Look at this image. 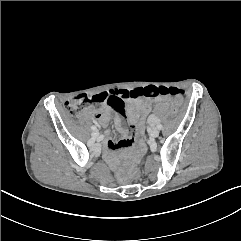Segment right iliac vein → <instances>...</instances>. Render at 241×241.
I'll use <instances>...</instances> for the list:
<instances>
[{
  "label": "right iliac vein",
  "instance_id": "1",
  "mask_svg": "<svg viewBox=\"0 0 241 241\" xmlns=\"http://www.w3.org/2000/svg\"><path fill=\"white\" fill-rule=\"evenodd\" d=\"M91 135H92V137H93L94 139H96V138L99 137V132H98L97 130H95V131L92 132Z\"/></svg>",
  "mask_w": 241,
  "mask_h": 241
}]
</instances>
